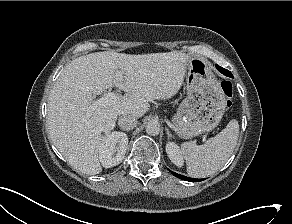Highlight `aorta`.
I'll use <instances>...</instances> for the list:
<instances>
[{
	"label": "aorta",
	"instance_id": "obj_1",
	"mask_svg": "<svg viewBox=\"0 0 292 224\" xmlns=\"http://www.w3.org/2000/svg\"><path fill=\"white\" fill-rule=\"evenodd\" d=\"M146 132L149 135H158L160 132V124L155 120H150L146 124Z\"/></svg>",
	"mask_w": 292,
	"mask_h": 224
}]
</instances>
